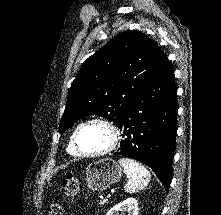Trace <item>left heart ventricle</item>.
<instances>
[{"label": "left heart ventricle", "instance_id": "b2bd125f", "mask_svg": "<svg viewBox=\"0 0 221 215\" xmlns=\"http://www.w3.org/2000/svg\"><path fill=\"white\" fill-rule=\"evenodd\" d=\"M110 142L107 129L100 124L84 127L78 135V146L83 152L95 153L105 149Z\"/></svg>", "mask_w": 221, "mask_h": 215}]
</instances>
